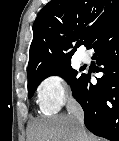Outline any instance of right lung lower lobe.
I'll return each instance as SVG.
<instances>
[{"instance_id": "98d812e1", "label": "right lung lower lobe", "mask_w": 119, "mask_h": 141, "mask_svg": "<svg viewBox=\"0 0 119 141\" xmlns=\"http://www.w3.org/2000/svg\"><path fill=\"white\" fill-rule=\"evenodd\" d=\"M90 48L104 75L97 84L83 74L72 91L85 114V125L95 135L119 141V19L106 24Z\"/></svg>"}]
</instances>
